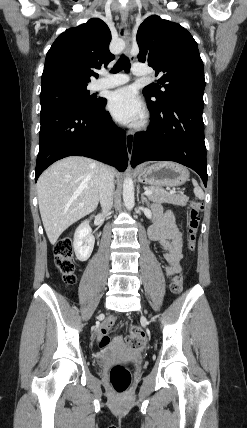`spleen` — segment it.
Segmentation results:
<instances>
[{
  "mask_svg": "<svg viewBox=\"0 0 247 428\" xmlns=\"http://www.w3.org/2000/svg\"><path fill=\"white\" fill-rule=\"evenodd\" d=\"M192 183L194 185V194L197 198H199L200 200L204 199V192L201 189V187H199L198 183L196 182V180H192Z\"/></svg>",
  "mask_w": 247,
  "mask_h": 428,
  "instance_id": "1",
  "label": "spleen"
}]
</instances>
